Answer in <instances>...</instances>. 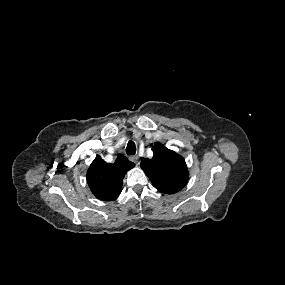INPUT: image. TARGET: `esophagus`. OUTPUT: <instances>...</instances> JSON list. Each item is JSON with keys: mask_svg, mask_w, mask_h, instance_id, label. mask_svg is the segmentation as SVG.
<instances>
[{"mask_svg": "<svg viewBox=\"0 0 285 285\" xmlns=\"http://www.w3.org/2000/svg\"><path fill=\"white\" fill-rule=\"evenodd\" d=\"M129 159L136 164L139 162V157L137 155H132L129 157Z\"/></svg>", "mask_w": 285, "mask_h": 285, "instance_id": "esophagus-1", "label": "esophagus"}]
</instances>
